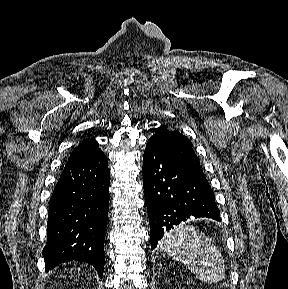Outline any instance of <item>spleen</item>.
<instances>
[{
    "instance_id": "spleen-1",
    "label": "spleen",
    "mask_w": 288,
    "mask_h": 289,
    "mask_svg": "<svg viewBox=\"0 0 288 289\" xmlns=\"http://www.w3.org/2000/svg\"><path fill=\"white\" fill-rule=\"evenodd\" d=\"M163 248L201 282L217 283L225 276L224 260L219 250L209 237L190 224L183 222L165 232Z\"/></svg>"
}]
</instances>
